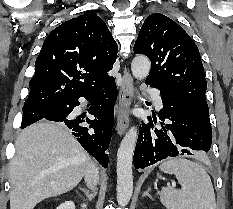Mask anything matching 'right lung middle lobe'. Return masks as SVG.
Segmentation results:
<instances>
[{"label":"right lung middle lobe","mask_w":233,"mask_h":209,"mask_svg":"<svg viewBox=\"0 0 233 209\" xmlns=\"http://www.w3.org/2000/svg\"><path fill=\"white\" fill-rule=\"evenodd\" d=\"M68 101H46L39 103H25L21 128H25L52 112L62 108Z\"/></svg>","instance_id":"right-lung-middle-lobe-1"}]
</instances>
